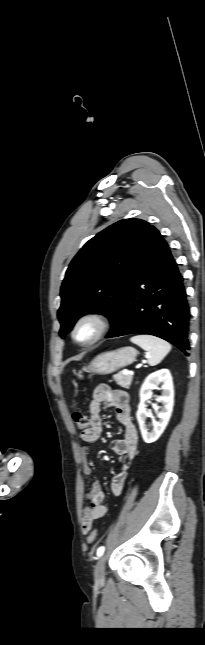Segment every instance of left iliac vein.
<instances>
[{
	"label": "left iliac vein",
	"mask_w": 205,
	"mask_h": 645,
	"mask_svg": "<svg viewBox=\"0 0 205 645\" xmlns=\"http://www.w3.org/2000/svg\"><path fill=\"white\" fill-rule=\"evenodd\" d=\"M105 560V555L101 556L94 569V578L98 584H102L105 580Z\"/></svg>",
	"instance_id": "1"
}]
</instances>
